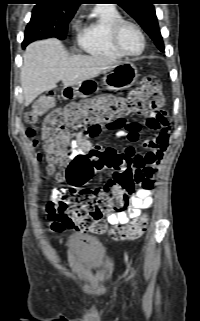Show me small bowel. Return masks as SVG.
<instances>
[{
  "mask_svg": "<svg viewBox=\"0 0 200 321\" xmlns=\"http://www.w3.org/2000/svg\"><path fill=\"white\" fill-rule=\"evenodd\" d=\"M130 91V88H127ZM102 94L108 89L102 87ZM126 91H115V98H122ZM148 128L156 132L155 136L143 142L145 152H138L132 146H127L121 153L112 148H102L93 144L89 137L78 136L71 142V156L88 153L92 150L115 152L128 158L133 168L141 177L139 188L130 196L127 210L110 213L107 222L113 226H120L128 223L131 219L137 218L143 209L149 208L154 202V181L158 173V165L161 162L170 140V120L165 111H152L145 120ZM115 135L118 138L126 139L130 143H135L140 134L141 124L138 122L123 120L119 126L115 127ZM50 201L47 205L53 206V211H47L51 230L62 232L66 229L74 228V225L65 219V215L70 206V198L67 191L62 187H54L50 192Z\"/></svg>",
  "mask_w": 200,
  "mask_h": 321,
  "instance_id": "small-bowel-1",
  "label": "small bowel"
}]
</instances>
